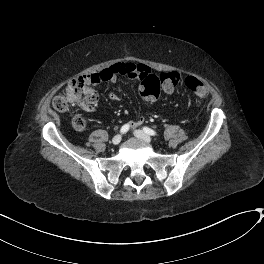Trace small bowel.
Returning <instances> with one entry per match:
<instances>
[{"label": "small bowel", "mask_w": 264, "mask_h": 264, "mask_svg": "<svg viewBox=\"0 0 264 264\" xmlns=\"http://www.w3.org/2000/svg\"><path fill=\"white\" fill-rule=\"evenodd\" d=\"M120 66H124L127 69V73L124 75L131 80L142 82L147 77L153 75L150 67L145 64L123 63L119 65H113L101 71L92 73L86 78V80L89 81L90 83H95V84L104 83V82L116 83L118 73L116 72L115 68ZM167 92H171V91H167ZM109 97L114 101L119 100L118 95L113 92L109 93ZM140 124H141L140 119H137L132 123V125L134 126H138Z\"/></svg>", "instance_id": "obj_1"}]
</instances>
